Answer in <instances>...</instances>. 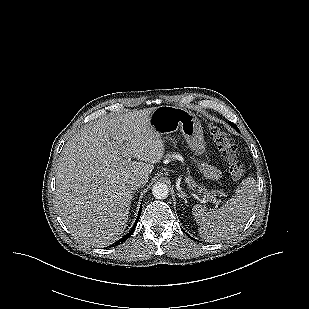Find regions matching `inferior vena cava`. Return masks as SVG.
I'll return each mask as SVG.
<instances>
[{"instance_id": "1", "label": "inferior vena cava", "mask_w": 309, "mask_h": 309, "mask_svg": "<svg viewBox=\"0 0 309 309\" xmlns=\"http://www.w3.org/2000/svg\"><path fill=\"white\" fill-rule=\"evenodd\" d=\"M148 179L145 176H138L130 180V187L134 190L142 188L147 183Z\"/></svg>"}]
</instances>
